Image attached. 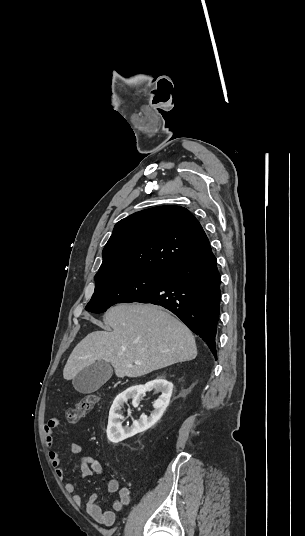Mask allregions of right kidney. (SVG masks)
<instances>
[{
    "label": "right kidney",
    "instance_id": "1",
    "mask_svg": "<svg viewBox=\"0 0 305 536\" xmlns=\"http://www.w3.org/2000/svg\"><path fill=\"white\" fill-rule=\"evenodd\" d=\"M147 390H155V394L162 392L158 400L153 402V408H155V410H153L149 418H147V416H141L139 422H133L131 428H123L122 422H120V420H123V416L120 412L121 406H123L124 402L130 400V398H133L134 402H138L139 404L140 394H144ZM172 390V382H167L164 376H158L156 380L147 382L144 386H133V388H128L126 392L119 394L116 400H114L113 406L109 412V420L106 430L108 440L114 442V444H118V442H122V440H126V438H131L134 434H139V432H145L148 428H152V426L160 420L161 416H163L170 402Z\"/></svg>",
    "mask_w": 305,
    "mask_h": 536
}]
</instances>
